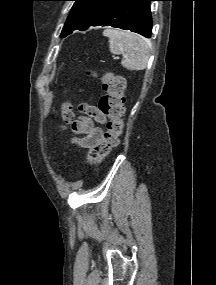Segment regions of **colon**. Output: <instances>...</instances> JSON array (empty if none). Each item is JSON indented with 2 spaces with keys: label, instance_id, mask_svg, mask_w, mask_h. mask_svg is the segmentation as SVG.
Instances as JSON below:
<instances>
[{
  "label": "colon",
  "instance_id": "obj_1",
  "mask_svg": "<svg viewBox=\"0 0 216 285\" xmlns=\"http://www.w3.org/2000/svg\"><path fill=\"white\" fill-rule=\"evenodd\" d=\"M101 80L104 95L100 99L98 110L108 118V122L100 141L93 145L87 153V161L92 165L101 163L119 145L124 129L125 79L108 71L102 74ZM62 118L66 123L73 118L72 107L67 103L62 105Z\"/></svg>",
  "mask_w": 216,
  "mask_h": 285
}]
</instances>
